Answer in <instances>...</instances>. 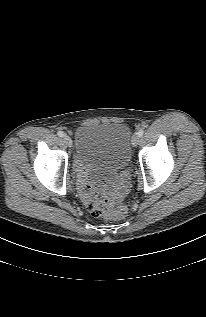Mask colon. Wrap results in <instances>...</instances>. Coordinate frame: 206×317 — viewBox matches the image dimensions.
<instances>
[{
    "label": "colon",
    "instance_id": "5ec220e1",
    "mask_svg": "<svg viewBox=\"0 0 206 317\" xmlns=\"http://www.w3.org/2000/svg\"><path fill=\"white\" fill-rule=\"evenodd\" d=\"M86 205L95 217L120 220L127 214V207L124 203H115V201L105 196L99 189L89 190V198Z\"/></svg>",
    "mask_w": 206,
    "mask_h": 317
}]
</instances>
